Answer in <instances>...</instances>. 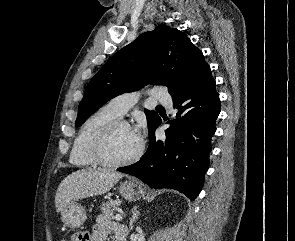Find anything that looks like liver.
<instances>
[{
    "label": "liver",
    "mask_w": 295,
    "mask_h": 241,
    "mask_svg": "<svg viewBox=\"0 0 295 241\" xmlns=\"http://www.w3.org/2000/svg\"><path fill=\"white\" fill-rule=\"evenodd\" d=\"M122 177L121 173L108 169L88 168L73 172L64 178L57 189V212L80 199L108 192Z\"/></svg>",
    "instance_id": "6515ba94"
}]
</instances>
